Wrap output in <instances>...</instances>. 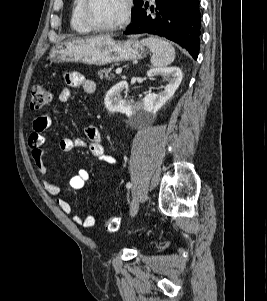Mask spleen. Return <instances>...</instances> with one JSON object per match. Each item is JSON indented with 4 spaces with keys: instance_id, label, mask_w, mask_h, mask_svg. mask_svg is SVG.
Segmentation results:
<instances>
[{
    "instance_id": "spleen-1",
    "label": "spleen",
    "mask_w": 267,
    "mask_h": 301,
    "mask_svg": "<svg viewBox=\"0 0 267 301\" xmlns=\"http://www.w3.org/2000/svg\"><path fill=\"white\" fill-rule=\"evenodd\" d=\"M141 42L152 52L151 64L153 67H165L174 61L175 49L168 41L149 37L143 39Z\"/></svg>"
}]
</instances>
